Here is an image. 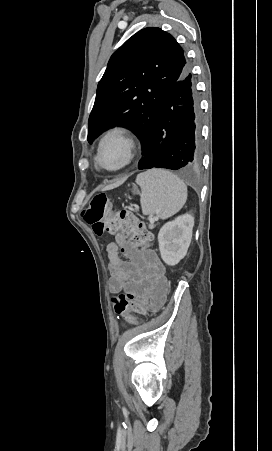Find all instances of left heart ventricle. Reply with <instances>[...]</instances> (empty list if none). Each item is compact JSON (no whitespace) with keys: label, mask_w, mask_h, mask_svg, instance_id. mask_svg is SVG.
Instances as JSON below:
<instances>
[{"label":"left heart ventricle","mask_w":272,"mask_h":451,"mask_svg":"<svg viewBox=\"0 0 272 451\" xmlns=\"http://www.w3.org/2000/svg\"><path fill=\"white\" fill-rule=\"evenodd\" d=\"M126 159L124 148L116 143H108L101 152L100 162L104 168L114 170L123 165Z\"/></svg>","instance_id":"1"}]
</instances>
